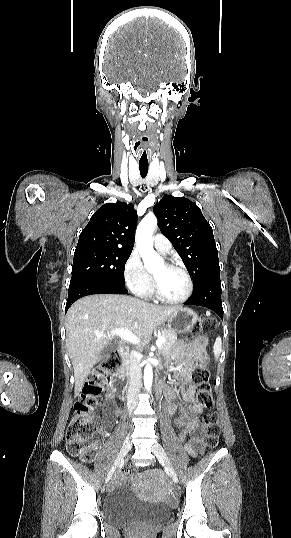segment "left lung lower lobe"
<instances>
[{"label":"left lung lower lobe","mask_w":291,"mask_h":538,"mask_svg":"<svg viewBox=\"0 0 291 538\" xmlns=\"http://www.w3.org/2000/svg\"><path fill=\"white\" fill-rule=\"evenodd\" d=\"M184 304L209 308L223 319L220 278H214L193 291L191 297Z\"/></svg>","instance_id":"1"}]
</instances>
